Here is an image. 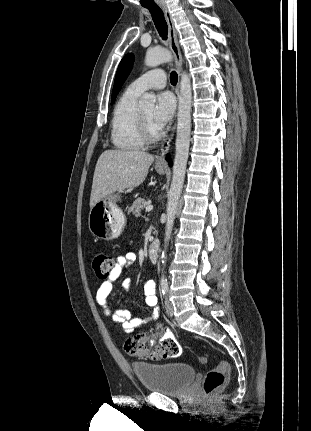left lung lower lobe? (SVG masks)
<instances>
[{
    "label": "left lung lower lobe",
    "mask_w": 311,
    "mask_h": 431,
    "mask_svg": "<svg viewBox=\"0 0 311 431\" xmlns=\"http://www.w3.org/2000/svg\"><path fill=\"white\" fill-rule=\"evenodd\" d=\"M167 161H168V163H169V165L171 166L172 165V161H171V159H170V157L169 156H167Z\"/></svg>",
    "instance_id": "0a47b994"
}]
</instances>
